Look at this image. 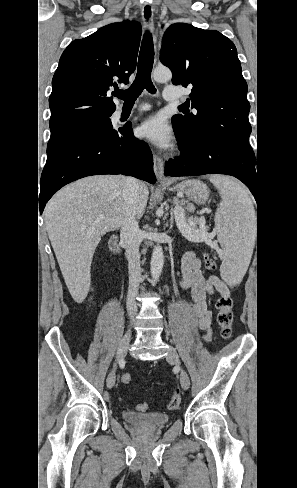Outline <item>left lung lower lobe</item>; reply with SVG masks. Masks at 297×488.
Masks as SVG:
<instances>
[{"label":"left lung lower lobe","mask_w":297,"mask_h":488,"mask_svg":"<svg viewBox=\"0 0 297 488\" xmlns=\"http://www.w3.org/2000/svg\"><path fill=\"white\" fill-rule=\"evenodd\" d=\"M176 137L181 155L166 162V175H231L250 189L258 203V172L256 173L252 148L218 139L183 142L177 135Z\"/></svg>","instance_id":"0a47b994"}]
</instances>
